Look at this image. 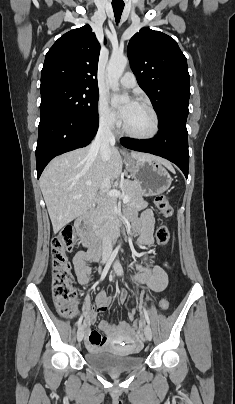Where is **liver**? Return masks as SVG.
<instances>
[{"instance_id": "obj_1", "label": "liver", "mask_w": 235, "mask_h": 404, "mask_svg": "<svg viewBox=\"0 0 235 404\" xmlns=\"http://www.w3.org/2000/svg\"><path fill=\"white\" fill-rule=\"evenodd\" d=\"M131 157H154L166 167H171L167 160L150 154L131 152ZM121 172L122 158L115 147H111L110 158L105 163L99 151L91 152L90 146L54 158L40 178V188L54 233L85 213L95 201L98 191L107 192ZM106 179L109 184L104 187ZM87 182L91 185L88 186Z\"/></svg>"}]
</instances>
